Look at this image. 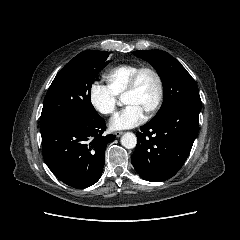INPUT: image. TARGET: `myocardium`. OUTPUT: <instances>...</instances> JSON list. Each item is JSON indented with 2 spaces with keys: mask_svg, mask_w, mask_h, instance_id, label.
I'll return each instance as SVG.
<instances>
[{
  "mask_svg": "<svg viewBox=\"0 0 240 240\" xmlns=\"http://www.w3.org/2000/svg\"><path fill=\"white\" fill-rule=\"evenodd\" d=\"M150 72L154 75L156 82H157V97L155 102L153 103V105L146 111L147 115H151L153 113H155L159 107L161 106L162 100H163V96H164V83H163V79L159 73V71L157 69H155L152 66H142L136 69V71L131 75L127 87L124 91L123 94V98H125L128 94L132 93L137 86L138 80L140 75L143 72Z\"/></svg>",
  "mask_w": 240,
  "mask_h": 240,
  "instance_id": "f54148a6",
  "label": "myocardium"
}]
</instances>
